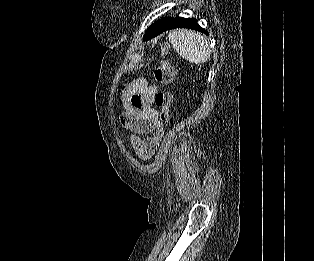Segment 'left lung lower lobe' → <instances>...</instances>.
Instances as JSON below:
<instances>
[{"instance_id": "1", "label": "left lung lower lobe", "mask_w": 314, "mask_h": 261, "mask_svg": "<svg viewBox=\"0 0 314 261\" xmlns=\"http://www.w3.org/2000/svg\"><path fill=\"white\" fill-rule=\"evenodd\" d=\"M174 28L194 29L208 35V32L197 24L196 19H186L182 17H176V18H172L167 24H165L153 37L161 34L165 30L174 29Z\"/></svg>"}]
</instances>
